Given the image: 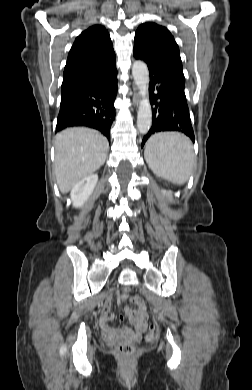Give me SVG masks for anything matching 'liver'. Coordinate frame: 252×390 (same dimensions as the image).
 I'll use <instances>...</instances> for the list:
<instances>
[{"mask_svg":"<svg viewBox=\"0 0 252 390\" xmlns=\"http://www.w3.org/2000/svg\"><path fill=\"white\" fill-rule=\"evenodd\" d=\"M109 143L98 131L74 127L55 138V175L62 193L92 175L105 162Z\"/></svg>","mask_w":252,"mask_h":390,"instance_id":"6515ba94","label":"liver"}]
</instances>
